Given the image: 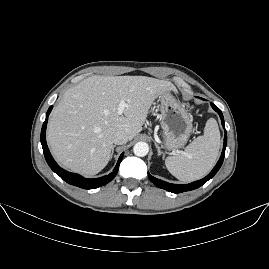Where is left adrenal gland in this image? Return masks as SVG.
<instances>
[{"mask_svg": "<svg viewBox=\"0 0 269 269\" xmlns=\"http://www.w3.org/2000/svg\"><path fill=\"white\" fill-rule=\"evenodd\" d=\"M155 147H156V149L158 151V156H161L162 159L164 160V154L160 151V148H159V146L156 143H155Z\"/></svg>", "mask_w": 269, "mask_h": 269, "instance_id": "a2214340", "label": "left adrenal gland"}]
</instances>
